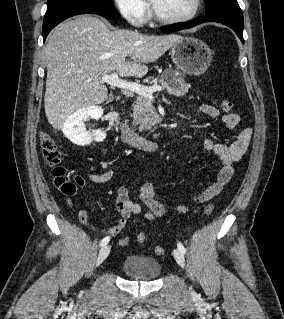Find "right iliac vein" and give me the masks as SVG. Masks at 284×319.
<instances>
[{
    "label": "right iliac vein",
    "mask_w": 284,
    "mask_h": 319,
    "mask_svg": "<svg viewBox=\"0 0 284 319\" xmlns=\"http://www.w3.org/2000/svg\"><path fill=\"white\" fill-rule=\"evenodd\" d=\"M110 246L109 245H105L102 247V249L100 250L98 256H97V260H96V266H99L109 255L110 253Z\"/></svg>",
    "instance_id": "obj_1"
}]
</instances>
